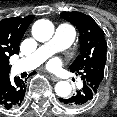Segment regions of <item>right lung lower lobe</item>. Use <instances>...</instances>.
Returning <instances> with one entry per match:
<instances>
[{
    "label": "right lung lower lobe",
    "instance_id": "obj_1",
    "mask_svg": "<svg viewBox=\"0 0 117 117\" xmlns=\"http://www.w3.org/2000/svg\"><path fill=\"white\" fill-rule=\"evenodd\" d=\"M26 91V85L23 80L15 77L14 81L10 78L5 84L0 86V107L5 109L15 108L20 106Z\"/></svg>",
    "mask_w": 117,
    "mask_h": 117
}]
</instances>
